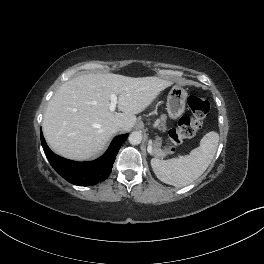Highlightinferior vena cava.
I'll return each mask as SVG.
<instances>
[{
    "label": "inferior vena cava",
    "instance_id": "602c4592",
    "mask_svg": "<svg viewBox=\"0 0 264 264\" xmlns=\"http://www.w3.org/2000/svg\"><path fill=\"white\" fill-rule=\"evenodd\" d=\"M123 128V124L121 123H116L112 126V131L113 132H118Z\"/></svg>",
    "mask_w": 264,
    "mask_h": 264
}]
</instances>
